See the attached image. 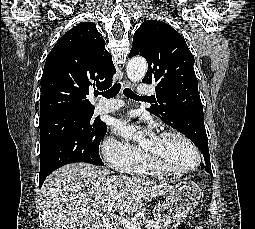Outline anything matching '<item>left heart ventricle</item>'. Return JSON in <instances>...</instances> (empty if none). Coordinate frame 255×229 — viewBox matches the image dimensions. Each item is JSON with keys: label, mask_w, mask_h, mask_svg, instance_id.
Instances as JSON below:
<instances>
[{"label": "left heart ventricle", "mask_w": 255, "mask_h": 229, "mask_svg": "<svg viewBox=\"0 0 255 229\" xmlns=\"http://www.w3.org/2000/svg\"><path fill=\"white\" fill-rule=\"evenodd\" d=\"M140 147L152 158L172 168H185L194 164L196 156L192 148L176 136L144 137Z\"/></svg>", "instance_id": "b2bd125f"}]
</instances>
